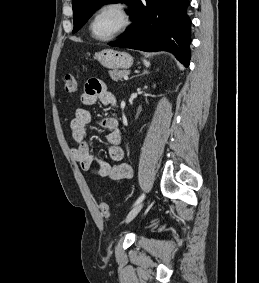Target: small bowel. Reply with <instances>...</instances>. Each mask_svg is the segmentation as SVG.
Instances as JSON below:
<instances>
[{
	"mask_svg": "<svg viewBox=\"0 0 259 283\" xmlns=\"http://www.w3.org/2000/svg\"><path fill=\"white\" fill-rule=\"evenodd\" d=\"M80 101L85 107L76 109L75 117L70 123L71 135L76 143V146L71 149L73 159L83 170L91 171L98 177L107 178L113 182L131 179L133 171L131 166L123 161L125 153L121 147L122 136L116 118L106 117L100 120V126L107 131L105 139L108 143V155L114 164L91 155L90 144L87 140V125L91 122V113L86 106L94 105L97 101L107 106H115L116 98L101 81L91 79L85 84Z\"/></svg>",
	"mask_w": 259,
	"mask_h": 283,
	"instance_id": "c3829d8e",
	"label": "small bowel"
}]
</instances>
